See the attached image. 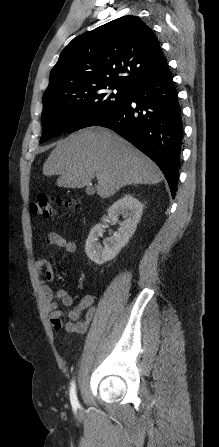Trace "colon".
Instances as JSON below:
<instances>
[{
    "label": "colon",
    "instance_id": "obj_1",
    "mask_svg": "<svg viewBox=\"0 0 219 447\" xmlns=\"http://www.w3.org/2000/svg\"><path fill=\"white\" fill-rule=\"evenodd\" d=\"M79 206L80 202L75 199L64 200L43 195L31 204V211L36 216L50 218L56 215H69Z\"/></svg>",
    "mask_w": 219,
    "mask_h": 447
}]
</instances>
